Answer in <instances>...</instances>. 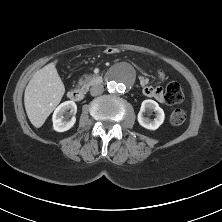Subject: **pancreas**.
Returning <instances> with one entry per match:
<instances>
[{"mask_svg":"<svg viewBox=\"0 0 222 222\" xmlns=\"http://www.w3.org/2000/svg\"><path fill=\"white\" fill-rule=\"evenodd\" d=\"M94 80H95L94 75H88L85 77L84 80L82 79L79 80V85L82 86L83 88H87L93 83Z\"/></svg>","mask_w":222,"mask_h":222,"instance_id":"obj_1","label":"pancreas"}]
</instances>
